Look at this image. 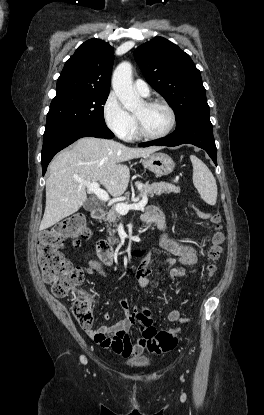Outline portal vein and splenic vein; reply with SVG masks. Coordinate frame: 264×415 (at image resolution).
I'll return each instance as SVG.
<instances>
[{
    "label": "portal vein and splenic vein",
    "mask_w": 264,
    "mask_h": 415,
    "mask_svg": "<svg viewBox=\"0 0 264 415\" xmlns=\"http://www.w3.org/2000/svg\"><path fill=\"white\" fill-rule=\"evenodd\" d=\"M81 184L85 185L88 191L95 194L100 200L106 202L109 200L108 193L100 188V184L98 182H87V181H80ZM148 202L147 196H143L142 199L137 203L126 204V203H118L115 206L116 211L119 214H127L129 210H140L146 206Z\"/></svg>",
    "instance_id": "portal-vein-and-splenic-vein-1"
}]
</instances>
